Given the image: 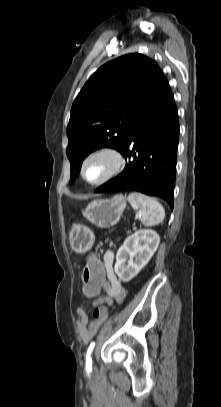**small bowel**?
Instances as JSON below:
<instances>
[{"mask_svg":"<svg viewBox=\"0 0 221 407\" xmlns=\"http://www.w3.org/2000/svg\"><path fill=\"white\" fill-rule=\"evenodd\" d=\"M114 253L110 250L106 251L103 256L104 265L106 267V279L107 284L104 286V293L106 298L103 300L102 297H95L92 303V308L96 309L97 306L103 305L105 302L106 305H112L114 301L120 303L125 298V292L122 287L121 281L115 274L114 271ZM84 294L86 292H83ZM96 296L100 292H95ZM77 329L81 339L84 342L89 341L97 332L98 328L101 326L105 318H90L88 313L83 309L79 308L77 310Z\"/></svg>","mask_w":221,"mask_h":407,"instance_id":"c3829d8e","label":"small bowel"}]
</instances>
